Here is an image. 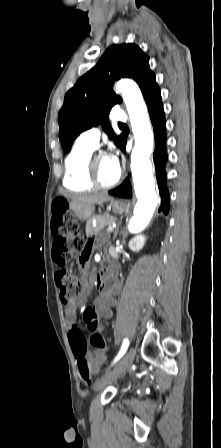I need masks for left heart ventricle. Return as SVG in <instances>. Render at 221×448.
I'll use <instances>...</instances> for the list:
<instances>
[{"instance_id": "b2bd125f", "label": "left heart ventricle", "mask_w": 221, "mask_h": 448, "mask_svg": "<svg viewBox=\"0 0 221 448\" xmlns=\"http://www.w3.org/2000/svg\"><path fill=\"white\" fill-rule=\"evenodd\" d=\"M96 164L98 175L103 182H112L117 177L118 173L111 167L109 156L105 154L99 155L96 159Z\"/></svg>"}]
</instances>
